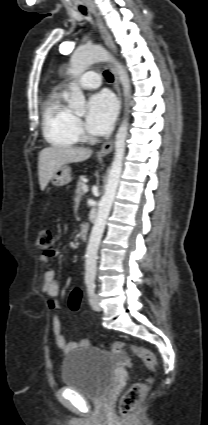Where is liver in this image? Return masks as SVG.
I'll use <instances>...</instances> for the list:
<instances>
[{
  "instance_id": "1",
  "label": "liver",
  "mask_w": 208,
  "mask_h": 425,
  "mask_svg": "<svg viewBox=\"0 0 208 425\" xmlns=\"http://www.w3.org/2000/svg\"><path fill=\"white\" fill-rule=\"evenodd\" d=\"M92 151L71 146H51L40 151L38 174L40 189L43 191L54 173L63 165L87 160Z\"/></svg>"
}]
</instances>
